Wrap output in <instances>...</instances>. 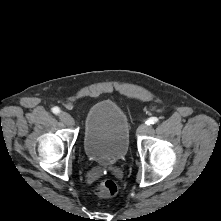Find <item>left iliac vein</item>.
<instances>
[{
    "instance_id": "obj_1",
    "label": "left iliac vein",
    "mask_w": 221,
    "mask_h": 221,
    "mask_svg": "<svg viewBox=\"0 0 221 221\" xmlns=\"http://www.w3.org/2000/svg\"><path fill=\"white\" fill-rule=\"evenodd\" d=\"M150 126L149 125H147V124H142V125H140L139 127H138V129H137V133L139 134V135H142V134H145V133H147L149 130H150Z\"/></svg>"
}]
</instances>
